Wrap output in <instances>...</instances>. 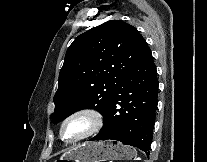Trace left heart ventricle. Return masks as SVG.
<instances>
[{"instance_id": "obj_1", "label": "left heart ventricle", "mask_w": 207, "mask_h": 162, "mask_svg": "<svg viewBox=\"0 0 207 162\" xmlns=\"http://www.w3.org/2000/svg\"><path fill=\"white\" fill-rule=\"evenodd\" d=\"M90 127V121L86 117H78L71 122H69L64 129V136L66 139H73L84 132H86Z\"/></svg>"}]
</instances>
